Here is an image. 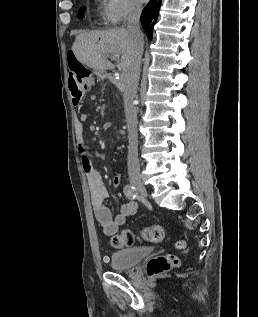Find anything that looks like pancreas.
<instances>
[{"label": "pancreas", "mask_w": 258, "mask_h": 317, "mask_svg": "<svg viewBox=\"0 0 258 317\" xmlns=\"http://www.w3.org/2000/svg\"><path fill=\"white\" fill-rule=\"evenodd\" d=\"M112 82L113 83H122V78H119L118 76H113Z\"/></svg>", "instance_id": "pancreas-1"}]
</instances>
